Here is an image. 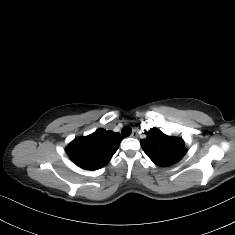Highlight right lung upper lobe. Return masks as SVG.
I'll return each mask as SVG.
<instances>
[{
  "mask_svg": "<svg viewBox=\"0 0 235 235\" xmlns=\"http://www.w3.org/2000/svg\"><path fill=\"white\" fill-rule=\"evenodd\" d=\"M121 140L119 133L99 128L88 136L75 138L66 147V153L80 168L97 170L108 164Z\"/></svg>",
  "mask_w": 235,
  "mask_h": 235,
  "instance_id": "1",
  "label": "right lung upper lobe"
}]
</instances>
